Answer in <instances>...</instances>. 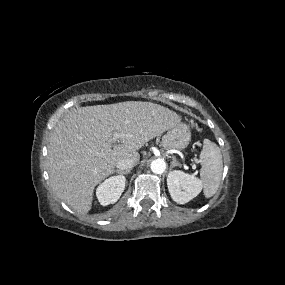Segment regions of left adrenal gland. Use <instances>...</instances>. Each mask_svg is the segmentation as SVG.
Wrapping results in <instances>:
<instances>
[{
  "label": "left adrenal gland",
  "mask_w": 285,
  "mask_h": 285,
  "mask_svg": "<svg viewBox=\"0 0 285 285\" xmlns=\"http://www.w3.org/2000/svg\"><path fill=\"white\" fill-rule=\"evenodd\" d=\"M175 166L181 167V164L177 161V159L175 157H172L170 168H173Z\"/></svg>",
  "instance_id": "obj_1"
}]
</instances>
